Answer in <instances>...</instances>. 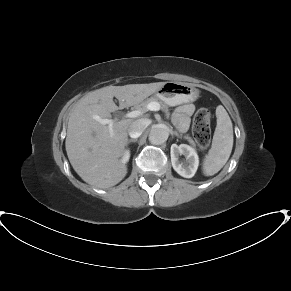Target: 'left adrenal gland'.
<instances>
[{
  "label": "left adrenal gland",
  "instance_id": "left-adrenal-gland-1",
  "mask_svg": "<svg viewBox=\"0 0 291 291\" xmlns=\"http://www.w3.org/2000/svg\"><path fill=\"white\" fill-rule=\"evenodd\" d=\"M174 134H175L177 137H179V135H178V133H177V132H174Z\"/></svg>",
  "mask_w": 291,
  "mask_h": 291
}]
</instances>
